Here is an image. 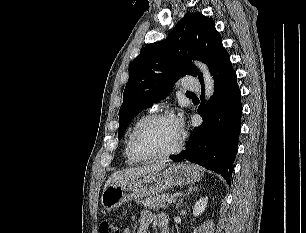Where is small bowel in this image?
Here are the masks:
<instances>
[{"mask_svg": "<svg viewBox=\"0 0 306 233\" xmlns=\"http://www.w3.org/2000/svg\"><path fill=\"white\" fill-rule=\"evenodd\" d=\"M134 220L136 222V233H148V229L151 225L157 226L162 230L168 225L167 215H155L148 210L142 211L137 218H134ZM123 233H130V228H126Z\"/></svg>", "mask_w": 306, "mask_h": 233, "instance_id": "c3829d8e", "label": "small bowel"}]
</instances>
